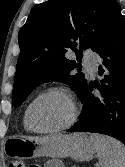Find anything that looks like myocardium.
Returning a JSON list of instances; mask_svg holds the SVG:
<instances>
[{
    "instance_id": "f54148a6",
    "label": "myocardium",
    "mask_w": 125,
    "mask_h": 167,
    "mask_svg": "<svg viewBox=\"0 0 125 167\" xmlns=\"http://www.w3.org/2000/svg\"><path fill=\"white\" fill-rule=\"evenodd\" d=\"M50 94H58L61 95L62 97L65 98V100L67 101L69 107H70V115L68 117V119L61 125L54 127V128H50V129H36L32 126L31 124V111L33 106L36 104L37 101H39L41 98L50 95ZM78 117V108H77V104L76 101L72 95V93L65 87H61V86H52L49 87L47 89H45L44 91H42L41 93H39L28 105L27 109H26V120L29 126V129L35 133H39V134H50V133H56L62 130H65L69 127H71L76 119Z\"/></svg>"
}]
</instances>
